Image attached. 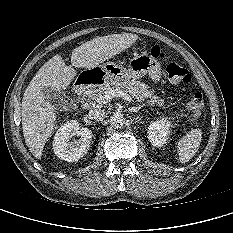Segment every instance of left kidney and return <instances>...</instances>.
Segmentation results:
<instances>
[{"label": "left kidney", "instance_id": "left-kidney-1", "mask_svg": "<svg viewBox=\"0 0 233 233\" xmlns=\"http://www.w3.org/2000/svg\"><path fill=\"white\" fill-rule=\"evenodd\" d=\"M171 123L167 119H158L150 124L147 137L155 147H162L168 140Z\"/></svg>", "mask_w": 233, "mask_h": 233}]
</instances>
